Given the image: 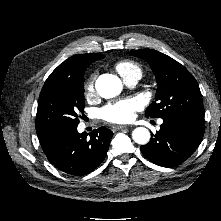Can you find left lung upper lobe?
I'll return each instance as SVG.
<instances>
[{"instance_id": "left-lung-upper-lobe-1", "label": "left lung upper lobe", "mask_w": 221, "mask_h": 221, "mask_svg": "<svg viewBox=\"0 0 221 221\" xmlns=\"http://www.w3.org/2000/svg\"><path fill=\"white\" fill-rule=\"evenodd\" d=\"M130 54L146 60L158 84L156 101L146 110L151 118L194 116L204 118V106L197 81L171 57L151 49L131 50Z\"/></svg>"}]
</instances>
